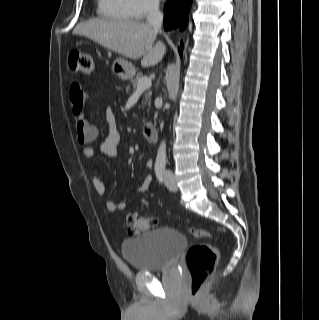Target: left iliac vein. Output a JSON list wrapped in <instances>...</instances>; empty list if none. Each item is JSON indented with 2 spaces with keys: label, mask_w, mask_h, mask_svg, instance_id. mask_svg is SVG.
Listing matches in <instances>:
<instances>
[{
  "label": "left iliac vein",
  "mask_w": 319,
  "mask_h": 320,
  "mask_svg": "<svg viewBox=\"0 0 319 320\" xmlns=\"http://www.w3.org/2000/svg\"><path fill=\"white\" fill-rule=\"evenodd\" d=\"M164 181L170 191H177V185L174 178L165 175Z\"/></svg>",
  "instance_id": "left-iliac-vein-1"
}]
</instances>
